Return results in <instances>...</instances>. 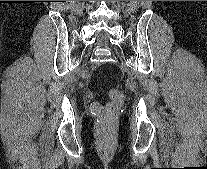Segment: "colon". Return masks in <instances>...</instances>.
Instances as JSON below:
<instances>
[{
	"label": "colon",
	"mask_w": 207,
	"mask_h": 169,
	"mask_svg": "<svg viewBox=\"0 0 207 169\" xmlns=\"http://www.w3.org/2000/svg\"><path fill=\"white\" fill-rule=\"evenodd\" d=\"M111 101L107 103L103 108L95 107L96 111L99 112L101 116V129L107 132L110 129V122L115 117L118 112L120 103L123 99V94L118 89H113L110 92Z\"/></svg>",
	"instance_id": "1"
}]
</instances>
